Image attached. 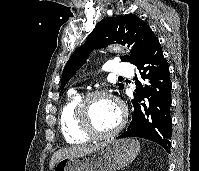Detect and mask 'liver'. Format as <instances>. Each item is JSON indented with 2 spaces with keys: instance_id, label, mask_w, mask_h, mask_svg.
<instances>
[{
  "instance_id": "liver-1",
  "label": "liver",
  "mask_w": 199,
  "mask_h": 171,
  "mask_svg": "<svg viewBox=\"0 0 199 171\" xmlns=\"http://www.w3.org/2000/svg\"><path fill=\"white\" fill-rule=\"evenodd\" d=\"M99 145L100 144L90 145V146H72L69 148L58 150L57 152L53 154L51 158V161L49 164L50 170H52L60 160L84 155L88 152L93 151Z\"/></svg>"
}]
</instances>
